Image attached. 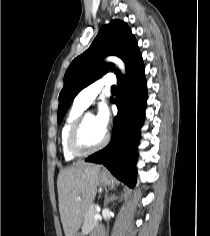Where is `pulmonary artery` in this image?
Here are the masks:
<instances>
[{
  "label": "pulmonary artery",
  "instance_id": "e3ab8cb5",
  "mask_svg": "<svg viewBox=\"0 0 210 236\" xmlns=\"http://www.w3.org/2000/svg\"><path fill=\"white\" fill-rule=\"evenodd\" d=\"M115 81V77L112 74L104 76L103 78L99 79L98 81L92 83L91 85L80 91L75 98V102L83 108H87L100 93L101 89L104 86H113L115 84Z\"/></svg>",
  "mask_w": 210,
  "mask_h": 236
}]
</instances>
